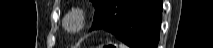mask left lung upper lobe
Returning a JSON list of instances; mask_svg holds the SVG:
<instances>
[{
  "instance_id": "5c2ea615",
  "label": "left lung upper lobe",
  "mask_w": 213,
  "mask_h": 48,
  "mask_svg": "<svg viewBox=\"0 0 213 48\" xmlns=\"http://www.w3.org/2000/svg\"><path fill=\"white\" fill-rule=\"evenodd\" d=\"M95 6V16L94 19L102 12V10L107 6L110 0H91Z\"/></svg>"
}]
</instances>
